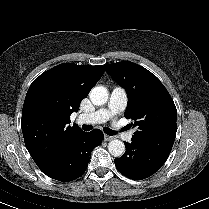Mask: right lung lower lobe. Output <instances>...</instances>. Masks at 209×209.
<instances>
[{"instance_id": "right-lung-lower-lobe-1", "label": "right lung lower lobe", "mask_w": 209, "mask_h": 209, "mask_svg": "<svg viewBox=\"0 0 209 209\" xmlns=\"http://www.w3.org/2000/svg\"><path fill=\"white\" fill-rule=\"evenodd\" d=\"M99 129L79 133L62 152L42 172L48 177L62 181H72L80 177L88 166L90 153L102 143Z\"/></svg>"}]
</instances>
